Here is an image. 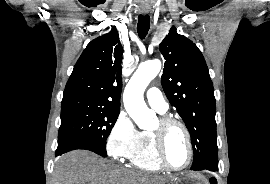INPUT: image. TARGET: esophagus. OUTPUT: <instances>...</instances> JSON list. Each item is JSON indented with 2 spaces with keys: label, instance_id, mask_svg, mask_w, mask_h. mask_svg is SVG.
Listing matches in <instances>:
<instances>
[{
  "label": "esophagus",
  "instance_id": "obj_1",
  "mask_svg": "<svg viewBox=\"0 0 270 184\" xmlns=\"http://www.w3.org/2000/svg\"><path fill=\"white\" fill-rule=\"evenodd\" d=\"M140 12H141L142 14L146 15V14L149 12V10H148L147 8H141V9H140Z\"/></svg>",
  "mask_w": 270,
  "mask_h": 184
}]
</instances>
